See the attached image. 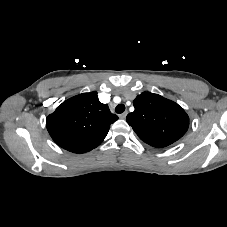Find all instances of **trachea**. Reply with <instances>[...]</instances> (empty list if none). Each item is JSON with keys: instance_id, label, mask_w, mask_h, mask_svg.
<instances>
[{"instance_id": "trachea-1", "label": "trachea", "mask_w": 227, "mask_h": 227, "mask_svg": "<svg viewBox=\"0 0 227 227\" xmlns=\"http://www.w3.org/2000/svg\"><path fill=\"white\" fill-rule=\"evenodd\" d=\"M116 113L121 114L125 111V105L124 104H119L115 108Z\"/></svg>"}]
</instances>
